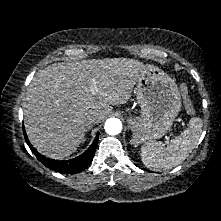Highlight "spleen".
<instances>
[{
  "instance_id": "obj_1",
  "label": "spleen",
  "mask_w": 221,
  "mask_h": 221,
  "mask_svg": "<svg viewBox=\"0 0 221 221\" xmlns=\"http://www.w3.org/2000/svg\"><path fill=\"white\" fill-rule=\"evenodd\" d=\"M202 132V119L194 117L179 136L173 138L167 147L161 142H149L141 148V160L150 169L161 171L182 163L197 145Z\"/></svg>"
}]
</instances>
